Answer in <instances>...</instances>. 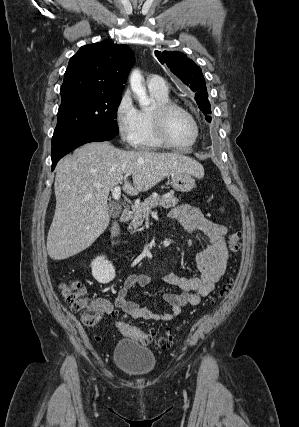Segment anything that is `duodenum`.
I'll use <instances>...</instances> for the list:
<instances>
[{
	"label": "duodenum",
	"mask_w": 299,
	"mask_h": 427,
	"mask_svg": "<svg viewBox=\"0 0 299 427\" xmlns=\"http://www.w3.org/2000/svg\"><path fill=\"white\" fill-rule=\"evenodd\" d=\"M130 216H131L130 211L129 210H124L121 213L118 222H116V223L113 224V227H112L113 243L118 248H122L123 247L121 225L124 224V223H127L129 221V219H130Z\"/></svg>",
	"instance_id": "410a0bca"
}]
</instances>
